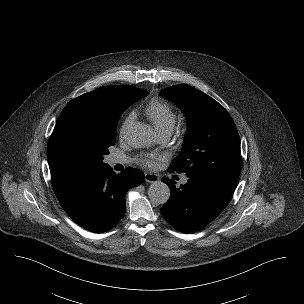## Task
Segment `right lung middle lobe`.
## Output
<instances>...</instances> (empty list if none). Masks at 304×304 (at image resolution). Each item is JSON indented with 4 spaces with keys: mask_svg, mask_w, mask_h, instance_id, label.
I'll list each match as a JSON object with an SVG mask.
<instances>
[{
    "mask_svg": "<svg viewBox=\"0 0 304 304\" xmlns=\"http://www.w3.org/2000/svg\"><path fill=\"white\" fill-rule=\"evenodd\" d=\"M147 95L148 92L131 87L118 106L73 117L67 125V142L96 167L104 166L103 156L115 144L120 116L128 106Z\"/></svg>",
    "mask_w": 304,
    "mask_h": 304,
    "instance_id": "obj_1",
    "label": "right lung middle lobe"
}]
</instances>
